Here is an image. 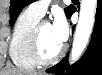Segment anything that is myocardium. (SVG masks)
I'll list each match as a JSON object with an SVG mask.
<instances>
[{"label":"myocardium","instance_id":"1","mask_svg":"<svg viewBox=\"0 0 102 75\" xmlns=\"http://www.w3.org/2000/svg\"><path fill=\"white\" fill-rule=\"evenodd\" d=\"M45 25H50V22L47 20H40L35 25L32 31V34L30 36L29 45H28L31 58L36 63V65H40V66L50 65L56 62L58 59H60V57L65 52V46H62L60 51L57 54H55L53 57L51 58L43 57L40 51L39 38H40L41 31Z\"/></svg>","mask_w":102,"mask_h":75}]
</instances>
